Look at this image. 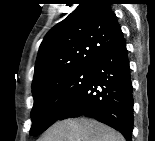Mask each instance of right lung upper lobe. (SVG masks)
Returning <instances> with one entry per match:
<instances>
[{
  "instance_id": "cb5924a9",
  "label": "right lung upper lobe",
  "mask_w": 155,
  "mask_h": 141,
  "mask_svg": "<svg viewBox=\"0 0 155 141\" xmlns=\"http://www.w3.org/2000/svg\"><path fill=\"white\" fill-rule=\"evenodd\" d=\"M120 34V25L107 0H83L44 37L32 88L56 74L94 67Z\"/></svg>"
}]
</instances>
